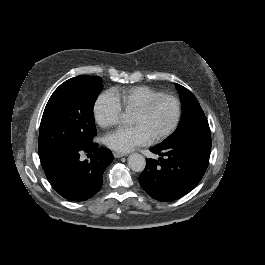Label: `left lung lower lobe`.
<instances>
[{
    "label": "left lung lower lobe",
    "instance_id": "obj_1",
    "mask_svg": "<svg viewBox=\"0 0 265 265\" xmlns=\"http://www.w3.org/2000/svg\"><path fill=\"white\" fill-rule=\"evenodd\" d=\"M150 151L165 158L146 160L139 176L142 188L156 200H176L194 189L203 177L211 152V134L190 135Z\"/></svg>",
    "mask_w": 265,
    "mask_h": 265
}]
</instances>
